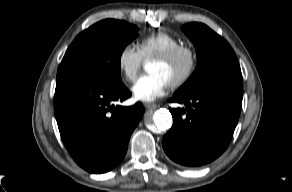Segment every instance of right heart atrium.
Wrapping results in <instances>:
<instances>
[{
  "label": "right heart atrium",
  "instance_id": "1",
  "mask_svg": "<svg viewBox=\"0 0 292 192\" xmlns=\"http://www.w3.org/2000/svg\"><path fill=\"white\" fill-rule=\"evenodd\" d=\"M142 63V56L133 45L126 44L120 49L117 56V65L127 81L132 82L136 79Z\"/></svg>",
  "mask_w": 292,
  "mask_h": 192
}]
</instances>
